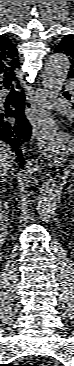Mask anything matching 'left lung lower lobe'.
<instances>
[{"label": "left lung lower lobe", "instance_id": "obj_1", "mask_svg": "<svg viewBox=\"0 0 74 366\" xmlns=\"http://www.w3.org/2000/svg\"><path fill=\"white\" fill-rule=\"evenodd\" d=\"M68 78H73V79H74V77H73V76H70V75H68ZM64 96H65L67 99H69V100H70V94H68L67 92H65V93H64ZM72 103H73V108H74V95H73ZM72 126L74 127V120H73V124H72Z\"/></svg>", "mask_w": 74, "mask_h": 366}]
</instances>
